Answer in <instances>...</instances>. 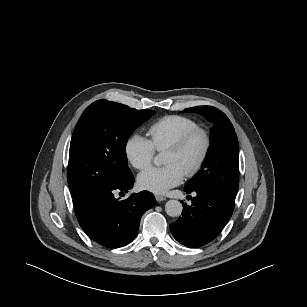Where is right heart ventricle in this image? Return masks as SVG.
I'll return each instance as SVG.
<instances>
[{"label":"right heart ventricle","mask_w":307,"mask_h":307,"mask_svg":"<svg viewBox=\"0 0 307 307\" xmlns=\"http://www.w3.org/2000/svg\"><path fill=\"white\" fill-rule=\"evenodd\" d=\"M196 127L198 123L190 117L168 115L150 125L148 135L154 149L162 152L183 134Z\"/></svg>","instance_id":"obj_1"}]
</instances>
